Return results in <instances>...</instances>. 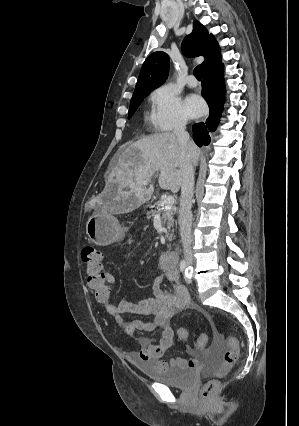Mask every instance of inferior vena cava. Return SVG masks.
Segmentation results:
<instances>
[{
  "mask_svg": "<svg viewBox=\"0 0 299 426\" xmlns=\"http://www.w3.org/2000/svg\"><path fill=\"white\" fill-rule=\"evenodd\" d=\"M187 120L183 119L178 122L174 129V134L182 148V156L180 161L182 180H181V196L179 207V226L181 242L184 251V258L187 264L192 262L191 251V228H192V199L194 192V169L188 152L190 146L189 134L186 132Z\"/></svg>",
  "mask_w": 299,
  "mask_h": 426,
  "instance_id": "inferior-vena-cava-1",
  "label": "inferior vena cava"
}]
</instances>
